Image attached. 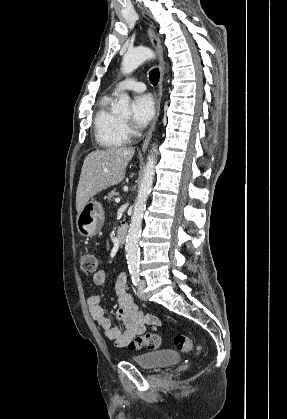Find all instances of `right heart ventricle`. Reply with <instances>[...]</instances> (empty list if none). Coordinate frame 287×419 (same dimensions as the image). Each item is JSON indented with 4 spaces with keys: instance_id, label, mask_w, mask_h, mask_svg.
<instances>
[{
    "instance_id": "right-heart-ventricle-1",
    "label": "right heart ventricle",
    "mask_w": 287,
    "mask_h": 419,
    "mask_svg": "<svg viewBox=\"0 0 287 419\" xmlns=\"http://www.w3.org/2000/svg\"><path fill=\"white\" fill-rule=\"evenodd\" d=\"M111 101V96H103L93 119L95 139L104 148L120 147L128 141L122 120L110 110Z\"/></svg>"
}]
</instances>
